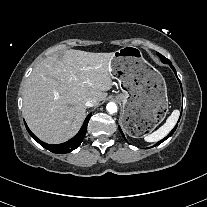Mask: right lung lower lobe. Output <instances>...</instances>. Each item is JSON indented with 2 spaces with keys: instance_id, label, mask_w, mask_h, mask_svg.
Instances as JSON below:
<instances>
[{
  "instance_id": "98d812e1",
  "label": "right lung lower lobe",
  "mask_w": 207,
  "mask_h": 207,
  "mask_svg": "<svg viewBox=\"0 0 207 207\" xmlns=\"http://www.w3.org/2000/svg\"><path fill=\"white\" fill-rule=\"evenodd\" d=\"M90 117H91V114H89L87 116V118L85 119V121L83 123V126L81 127L80 131L76 134V136H74L71 140H69V141H67L65 143L57 144V145H48V144L40 141L29 130V128L27 127V125H26V128H27V131L29 132V134L31 135V137L33 139H35V141H37L38 143H40L43 147H45L46 149L50 150L51 152L63 154V153L71 152L72 150L76 149L81 144V142L83 141V138H84V136L86 134L87 124L89 122Z\"/></svg>"
}]
</instances>
